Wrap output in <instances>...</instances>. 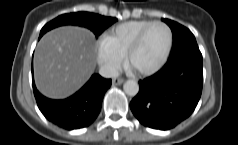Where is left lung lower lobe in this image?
I'll return each instance as SVG.
<instances>
[{"instance_id": "obj_1", "label": "left lung lower lobe", "mask_w": 238, "mask_h": 145, "mask_svg": "<svg viewBox=\"0 0 238 145\" xmlns=\"http://www.w3.org/2000/svg\"><path fill=\"white\" fill-rule=\"evenodd\" d=\"M202 84V54L198 46L184 49L170 56L156 74L139 81L140 90L130 102L131 110L147 127L174 128L195 110Z\"/></svg>"}]
</instances>
